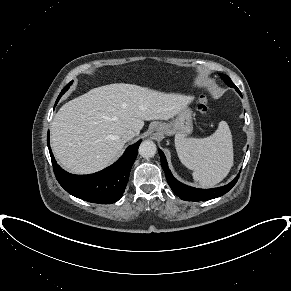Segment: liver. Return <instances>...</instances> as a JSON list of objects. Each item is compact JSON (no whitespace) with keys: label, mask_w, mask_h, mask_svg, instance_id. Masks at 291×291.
<instances>
[{"label":"liver","mask_w":291,"mask_h":291,"mask_svg":"<svg viewBox=\"0 0 291 291\" xmlns=\"http://www.w3.org/2000/svg\"><path fill=\"white\" fill-rule=\"evenodd\" d=\"M192 100L124 83L91 89L56 113L50 128L52 151L69 172H97L122 151L125 131L139 134L144 121L173 118Z\"/></svg>","instance_id":"obj_1"}]
</instances>
